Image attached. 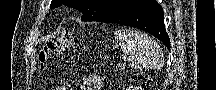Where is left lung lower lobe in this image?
I'll list each match as a JSON object with an SVG mask.
<instances>
[{"instance_id": "0a47b994", "label": "left lung lower lobe", "mask_w": 216, "mask_h": 90, "mask_svg": "<svg viewBox=\"0 0 216 90\" xmlns=\"http://www.w3.org/2000/svg\"><path fill=\"white\" fill-rule=\"evenodd\" d=\"M94 21L117 23L140 28L161 40L170 50V39L164 26L162 7L156 0H128Z\"/></svg>"}]
</instances>
